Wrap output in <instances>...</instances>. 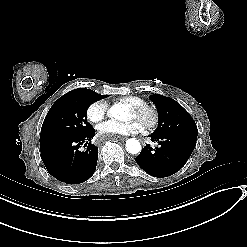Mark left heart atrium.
<instances>
[{"label": "left heart atrium", "mask_w": 247, "mask_h": 247, "mask_svg": "<svg viewBox=\"0 0 247 247\" xmlns=\"http://www.w3.org/2000/svg\"><path fill=\"white\" fill-rule=\"evenodd\" d=\"M140 130V124L137 121L130 123H116L113 121L105 122L98 126L96 142L101 143L116 135H129Z\"/></svg>", "instance_id": "39dd6f15"}]
</instances>
